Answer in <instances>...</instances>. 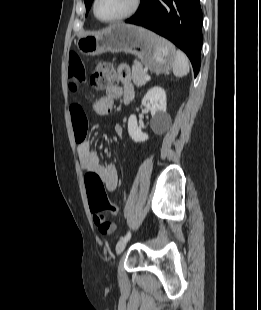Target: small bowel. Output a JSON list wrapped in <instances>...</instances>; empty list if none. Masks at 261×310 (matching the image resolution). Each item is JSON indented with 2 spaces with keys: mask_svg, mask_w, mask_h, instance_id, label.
<instances>
[{
  "mask_svg": "<svg viewBox=\"0 0 261 310\" xmlns=\"http://www.w3.org/2000/svg\"><path fill=\"white\" fill-rule=\"evenodd\" d=\"M118 78L120 84L108 87L105 96L99 98L94 106L98 114H107L113 107L115 99L123 97L126 101L131 98V71L127 65H119ZM86 81L84 63L76 53L69 56L68 87L70 91L77 92ZM72 124L77 142V153L81 167L86 172H94L100 176L109 191L118 187V174L112 164H101L90 142L86 139L87 117L83 107L78 102H73L70 107ZM117 135H121V127L116 126Z\"/></svg>",
  "mask_w": 261,
  "mask_h": 310,
  "instance_id": "1",
  "label": "small bowel"
}]
</instances>
